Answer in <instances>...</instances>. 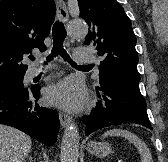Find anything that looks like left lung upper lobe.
Segmentation results:
<instances>
[{
  "mask_svg": "<svg viewBox=\"0 0 168 162\" xmlns=\"http://www.w3.org/2000/svg\"><path fill=\"white\" fill-rule=\"evenodd\" d=\"M80 17L89 25L85 45H94L102 57L100 82L106 77H120L139 83L136 36L131 21L116 0H78Z\"/></svg>",
  "mask_w": 168,
  "mask_h": 162,
  "instance_id": "left-lung-upper-lobe-1",
  "label": "left lung upper lobe"
}]
</instances>
